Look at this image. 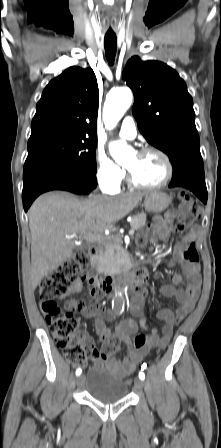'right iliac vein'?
<instances>
[{
	"instance_id": "63e3f726",
	"label": "right iliac vein",
	"mask_w": 221,
	"mask_h": 448,
	"mask_svg": "<svg viewBox=\"0 0 221 448\" xmlns=\"http://www.w3.org/2000/svg\"><path fill=\"white\" fill-rule=\"evenodd\" d=\"M77 385L78 386H82L83 384V375H80L77 379H76Z\"/></svg>"
}]
</instances>
